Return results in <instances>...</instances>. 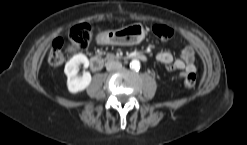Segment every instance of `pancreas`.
I'll return each instance as SVG.
<instances>
[{"instance_id": "pancreas-1", "label": "pancreas", "mask_w": 247, "mask_h": 145, "mask_svg": "<svg viewBox=\"0 0 247 145\" xmlns=\"http://www.w3.org/2000/svg\"><path fill=\"white\" fill-rule=\"evenodd\" d=\"M110 58H117V56L114 55H108V57L106 58L107 60H109Z\"/></svg>"}]
</instances>
